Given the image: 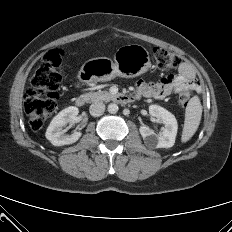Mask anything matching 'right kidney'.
<instances>
[{
    "label": "right kidney",
    "instance_id": "ca27d5eb",
    "mask_svg": "<svg viewBox=\"0 0 232 232\" xmlns=\"http://www.w3.org/2000/svg\"><path fill=\"white\" fill-rule=\"evenodd\" d=\"M79 113L77 107L70 106L59 112L51 121L46 131V138L54 146H63L75 143L81 137L82 133L74 131L71 135L64 134L62 128L70 120L74 119Z\"/></svg>",
    "mask_w": 232,
    "mask_h": 232
}]
</instances>
